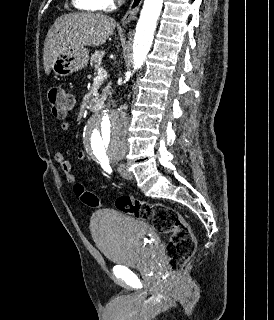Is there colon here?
<instances>
[{"instance_id": "5ec220e1", "label": "colon", "mask_w": 274, "mask_h": 320, "mask_svg": "<svg viewBox=\"0 0 274 320\" xmlns=\"http://www.w3.org/2000/svg\"><path fill=\"white\" fill-rule=\"evenodd\" d=\"M48 100L56 118H64L72 106L70 95L62 87H51ZM74 193L87 205H96L97 199L84 190L80 183L73 187ZM117 210L143 220L159 233L170 234L167 247L168 267L172 273L181 272L196 249V239L191 226L185 222L180 213L173 207L161 202H146L130 197H119L115 200Z\"/></svg>"}]
</instances>
